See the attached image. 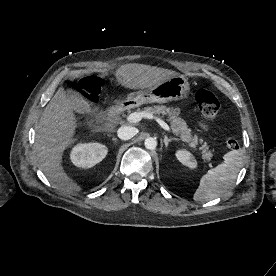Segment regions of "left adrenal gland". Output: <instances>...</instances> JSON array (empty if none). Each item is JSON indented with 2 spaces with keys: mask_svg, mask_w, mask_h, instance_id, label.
<instances>
[{
  "mask_svg": "<svg viewBox=\"0 0 276 276\" xmlns=\"http://www.w3.org/2000/svg\"><path fill=\"white\" fill-rule=\"evenodd\" d=\"M172 141H178V139L177 138H168L166 135L164 136V143H165L166 148L168 147L169 142H172Z\"/></svg>",
  "mask_w": 276,
  "mask_h": 276,
  "instance_id": "1",
  "label": "left adrenal gland"
}]
</instances>
